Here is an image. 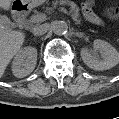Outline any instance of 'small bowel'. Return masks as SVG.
Listing matches in <instances>:
<instances>
[{
	"label": "small bowel",
	"mask_w": 119,
	"mask_h": 119,
	"mask_svg": "<svg viewBox=\"0 0 119 119\" xmlns=\"http://www.w3.org/2000/svg\"><path fill=\"white\" fill-rule=\"evenodd\" d=\"M93 5L94 3L92 1L84 2L82 5V12L84 17L94 24L102 25L104 24V18L113 20L118 16L117 8H105L102 15H99L94 12Z\"/></svg>",
	"instance_id": "small-bowel-1"
}]
</instances>
